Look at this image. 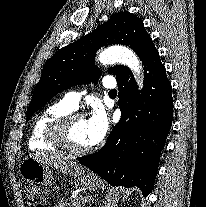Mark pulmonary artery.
I'll list each match as a JSON object with an SVG mask.
<instances>
[{"mask_svg":"<svg viewBox=\"0 0 206 207\" xmlns=\"http://www.w3.org/2000/svg\"><path fill=\"white\" fill-rule=\"evenodd\" d=\"M103 85L106 88H114L115 81L112 76H106L103 80ZM86 93V91H70L64 97V102L69 106L71 109H76L78 107L79 101L81 97Z\"/></svg>","mask_w":206,"mask_h":207,"instance_id":"e3ab8cb5","label":"pulmonary artery"}]
</instances>
